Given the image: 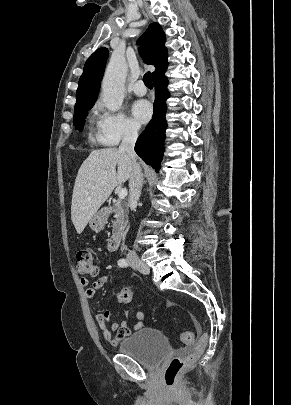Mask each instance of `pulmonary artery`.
<instances>
[{"label":"pulmonary artery","instance_id":"1","mask_svg":"<svg viewBox=\"0 0 291 405\" xmlns=\"http://www.w3.org/2000/svg\"><path fill=\"white\" fill-rule=\"evenodd\" d=\"M133 92L137 96H143L146 94L147 89L142 81H137L133 86Z\"/></svg>","mask_w":291,"mask_h":405}]
</instances>
